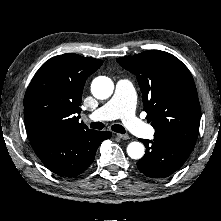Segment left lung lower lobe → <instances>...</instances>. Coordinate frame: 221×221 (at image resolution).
Instances as JSON below:
<instances>
[{
  "label": "left lung lower lobe",
  "instance_id": "0a47b994",
  "mask_svg": "<svg viewBox=\"0 0 221 221\" xmlns=\"http://www.w3.org/2000/svg\"><path fill=\"white\" fill-rule=\"evenodd\" d=\"M140 141L144 143L146 153L137 162V167L151 178H165L177 171L187 160L195 145L169 135H155L153 140Z\"/></svg>",
  "mask_w": 221,
  "mask_h": 221
}]
</instances>
